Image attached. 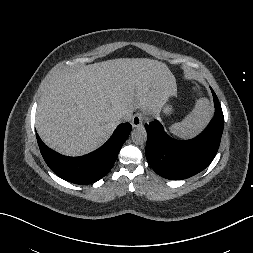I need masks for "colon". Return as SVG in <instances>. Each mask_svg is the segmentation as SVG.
I'll list each match as a JSON object with an SVG mask.
<instances>
[{"mask_svg":"<svg viewBox=\"0 0 253 253\" xmlns=\"http://www.w3.org/2000/svg\"><path fill=\"white\" fill-rule=\"evenodd\" d=\"M194 91H195V93L200 94L201 93V86L200 85H195L194 86Z\"/></svg>","mask_w":253,"mask_h":253,"instance_id":"obj_1","label":"colon"}]
</instances>
